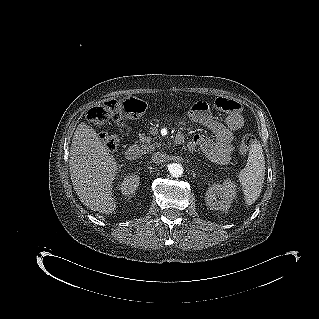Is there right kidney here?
<instances>
[{
    "instance_id": "1",
    "label": "right kidney",
    "mask_w": 319,
    "mask_h": 319,
    "mask_svg": "<svg viewBox=\"0 0 319 319\" xmlns=\"http://www.w3.org/2000/svg\"><path fill=\"white\" fill-rule=\"evenodd\" d=\"M135 185L131 187V189L129 190L128 194H133L135 193Z\"/></svg>"
}]
</instances>
